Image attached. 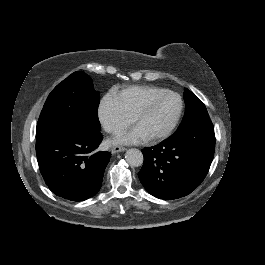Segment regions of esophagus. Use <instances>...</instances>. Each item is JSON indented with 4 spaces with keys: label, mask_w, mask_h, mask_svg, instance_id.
Returning <instances> with one entry per match:
<instances>
[{
    "label": "esophagus",
    "mask_w": 265,
    "mask_h": 265,
    "mask_svg": "<svg viewBox=\"0 0 265 265\" xmlns=\"http://www.w3.org/2000/svg\"><path fill=\"white\" fill-rule=\"evenodd\" d=\"M112 153H119V152H123V151H126V148L125 147H122L120 145H115L113 148H112Z\"/></svg>",
    "instance_id": "obj_1"
}]
</instances>
